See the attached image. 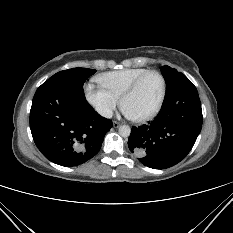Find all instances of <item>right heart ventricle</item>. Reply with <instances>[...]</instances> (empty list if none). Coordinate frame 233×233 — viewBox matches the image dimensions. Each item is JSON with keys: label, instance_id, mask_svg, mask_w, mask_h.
Masks as SVG:
<instances>
[{"label": "right heart ventricle", "instance_id": "e07e8e85", "mask_svg": "<svg viewBox=\"0 0 233 233\" xmlns=\"http://www.w3.org/2000/svg\"><path fill=\"white\" fill-rule=\"evenodd\" d=\"M149 71L147 68H125L105 72L97 77V81L102 87L120 98L122 93L138 78L141 74Z\"/></svg>", "mask_w": 233, "mask_h": 233}]
</instances>
